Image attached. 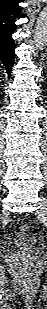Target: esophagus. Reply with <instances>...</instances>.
Here are the masks:
<instances>
[{"label": "esophagus", "mask_w": 47, "mask_h": 309, "mask_svg": "<svg viewBox=\"0 0 47 309\" xmlns=\"http://www.w3.org/2000/svg\"><path fill=\"white\" fill-rule=\"evenodd\" d=\"M40 8H41V4L37 0H29L28 11L31 14H35L39 12Z\"/></svg>", "instance_id": "34e87169"}]
</instances>
